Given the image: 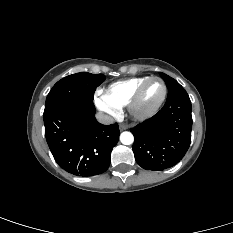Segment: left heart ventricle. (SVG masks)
Returning a JSON list of instances; mask_svg holds the SVG:
<instances>
[{
  "label": "left heart ventricle",
  "instance_id": "1",
  "mask_svg": "<svg viewBox=\"0 0 233 233\" xmlns=\"http://www.w3.org/2000/svg\"><path fill=\"white\" fill-rule=\"evenodd\" d=\"M163 86L160 81L153 80L145 88L140 103V110H147L153 107L161 98Z\"/></svg>",
  "mask_w": 233,
  "mask_h": 233
}]
</instances>
